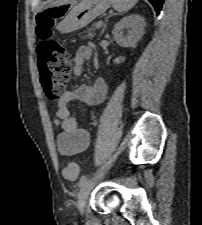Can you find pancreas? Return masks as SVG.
<instances>
[{
    "mask_svg": "<svg viewBox=\"0 0 202 225\" xmlns=\"http://www.w3.org/2000/svg\"><path fill=\"white\" fill-rule=\"evenodd\" d=\"M95 28H96V24H94L92 27H90V28L88 29L89 36H94V35H95L94 32H93V33H90L91 31H94Z\"/></svg>",
    "mask_w": 202,
    "mask_h": 225,
    "instance_id": "pancreas-1",
    "label": "pancreas"
}]
</instances>
